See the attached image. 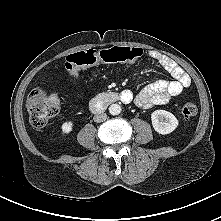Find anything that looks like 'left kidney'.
Listing matches in <instances>:
<instances>
[{"mask_svg": "<svg viewBox=\"0 0 221 221\" xmlns=\"http://www.w3.org/2000/svg\"><path fill=\"white\" fill-rule=\"evenodd\" d=\"M152 126L156 132L165 135L173 132L178 126L177 118L165 110H156L151 114Z\"/></svg>", "mask_w": 221, "mask_h": 221, "instance_id": "obj_1", "label": "left kidney"}]
</instances>
